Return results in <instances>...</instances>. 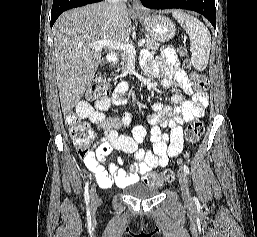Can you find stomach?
Returning <instances> with one entry per match:
<instances>
[{"label": "stomach", "instance_id": "1", "mask_svg": "<svg viewBox=\"0 0 257 237\" xmlns=\"http://www.w3.org/2000/svg\"><path fill=\"white\" fill-rule=\"evenodd\" d=\"M137 18L144 26L147 34L154 41L166 42L175 36L176 27L174 23L165 16L151 14L147 11L141 15H137Z\"/></svg>", "mask_w": 257, "mask_h": 237}]
</instances>
